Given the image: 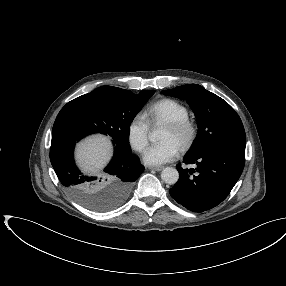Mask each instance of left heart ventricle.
I'll use <instances>...</instances> for the list:
<instances>
[{
    "label": "left heart ventricle",
    "instance_id": "left-heart-ventricle-1",
    "mask_svg": "<svg viewBox=\"0 0 286 286\" xmlns=\"http://www.w3.org/2000/svg\"><path fill=\"white\" fill-rule=\"evenodd\" d=\"M161 140H172L174 141L178 146H180L183 135L167 126L164 127L162 134H161Z\"/></svg>",
    "mask_w": 286,
    "mask_h": 286
}]
</instances>
